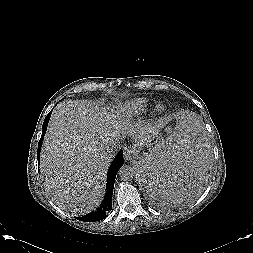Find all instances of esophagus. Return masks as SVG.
<instances>
[{
	"label": "esophagus",
	"instance_id": "1",
	"mask_svg": "<svg viewBox=\"0 0 253 253\" xmlns=\"http://www.w3.org/2000/svg\"><path fill=\"white\" fill-rule=\"evenodd\" d=\"M136 155V149L133 145H127L124 147V158L127 161H131L134 159Z\"/></svg>",
	"mask_w": 253,
	"mask_h": 253
}]
</instances>
